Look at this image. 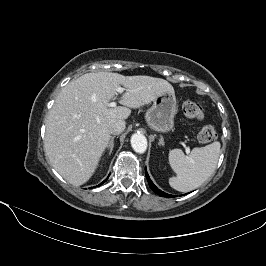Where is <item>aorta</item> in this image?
<instances>
[{"instance_id": "obj_1", "label": "aorta", "mask_w": 266, "mask_h": 266, "mask_svg": "<svg viewBox=\"0 0 266 266\" xmlns=\"http://www.w3.org/2000/svg\"><path fill=\"white\" fill-rule=\"evenodd\" d=\"M131 146L137 153H144L147 149V139L144 135L136 133L131 137Z\"/></svg>"}]
</instances>
